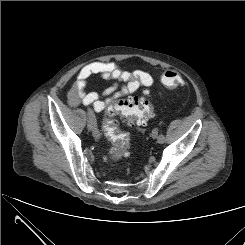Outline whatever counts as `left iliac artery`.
Returning <instances> with one entry per match:
<instances>
[{
	"label": "left iliac artery",
	"mask_w": 245,
	"mask_h": 245,
	"mask_svg": "<svg viewBox=\"0 0 245 245\" xmlns=\"http://www.w3.org/2000/svg\"><path fill=\"white\" fill-rule=\"evenodd\" d=\"M164 140H165L164 135H163V134H160V135L158 136V142H159V143H163Z\"/></svg>",
	"instance_id": "1"
}]
</instances>
